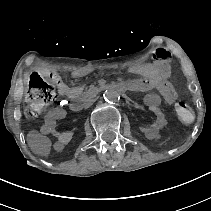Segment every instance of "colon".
I'll list each match as a JSON object with an SVG mask.
<instances>
[{
    "label": "colon",
    "mask_w": 211,
    "mask_h": 211,
    "mask_svg": "<svg viewBox=\"0 0 211 211\" xmlns=\"http://www.w3.org/2000/svg\"><path fill=\"white\" fill-rule=\"evenodd\" d=\"M165 59H169L166 54ZM56 91L53 83L45 76L37 72L31 73L28 80L27 102L29 103L26 114L34 118L41 110L56 100ZM174 109L178 119L185 124H190L195 119L194 110L184 102H176Z\"/></svg>",
    "instance_id": "obj_1"
}]
</instances>
